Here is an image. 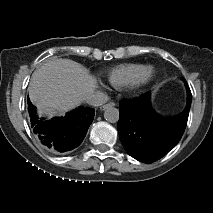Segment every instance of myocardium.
Wrapping results in <instances>:
<instances>
[{
    "mask_svg": "<svg viewBox=\"0 0 213 213\" xmlns=\"http://www.w3.org/2000/svg\"><path fill=\"white\" fill-rule=\"evenodd\" d=\"M155 76V70L151 66H146L145 69L134 79L128 86L132 90H138L149 84Z\"/></svg>",
    "mask_w": 213,
    "mask_h": 213,
    "instance_id": "f54148a6",
    "label": "myocardium"
}]
</instances>
